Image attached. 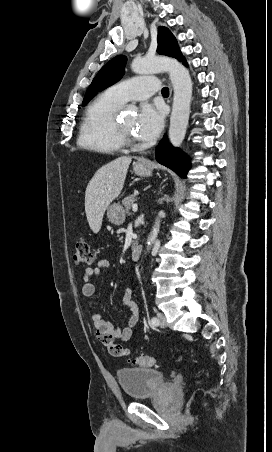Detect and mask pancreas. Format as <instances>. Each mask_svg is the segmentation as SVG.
I'll list each match as a JSON object with an SVG mask.
<instances>
[{
    "label": "pancreas",
    "instance_id": "cf45deb5",
    "mask_svg": "<svg viewBox=\"0 0 272 452\" xmlns=\"http://www.w3.org/2000/svg\"><path fill=\"white\" fill-rule=\"evenodd\" d=\"M135 201H136V199H135L134 195H129L123 199L122 204L125 207L126 214L130 215V210Z\"/></svg>",
    "mask_w": 272,
    "mask_h": 452
}]
</instances>
